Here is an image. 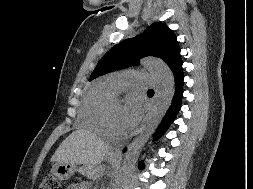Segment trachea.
Returning a JSON list of instances; mask_svg holds the SVG:
<instances>
[{
    "mask_svg": "<svg viewBox=\"0 0 253 189\" xmlns=\"http://www.w3.org/2000/svg\"><path fill=\"white\" fill-rule=\"evenodd\" d=\"M148 91H149V92H153V90H152V89H149Z\"/></svg>",
    "mask_w": 253,
    "mask_h": 189,
    "instance_id": "trachea-1",
    "label": "trachea"
}]
</instances>
